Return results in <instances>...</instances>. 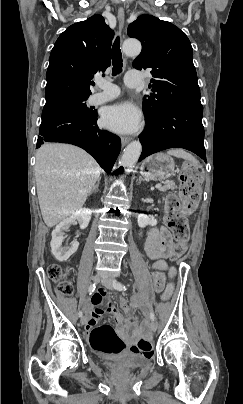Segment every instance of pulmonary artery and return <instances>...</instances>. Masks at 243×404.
Masks as SVG:
<instances>
[{"label":"pulmonary artery","instance_id":"e3ab8cb5","mask_svg":"<svg viewBox=\"0 0 243 404\" xmlns=\"http://www.w3.org/2000/svg\"><path fill=\"white\" fill-rule=\"evenodd\" d=\"M123 82L131 88L141 85V82L137 78L130 77L128 74L124 76ZM95 85L97 90L91 95V103L93 105L103 104L119 95V87L102 77L95 78Z\"/></svg>","mask_w":243,"mask_h":404}]
</instances>
